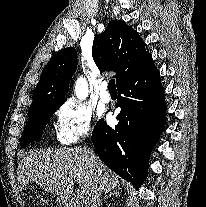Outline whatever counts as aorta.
I'll return each instance as SVG.
<instances>
[{
	"label": "aorta",
	"instance_id": "1",
	"mask_svg": "<svg viewBox=\"0 0 206 207\" xmlns=\"http://www.w3.org/2000/svg\"><path fill=\"white\" fill-rule=\"evenodd\" d=\"M75 93L79 99H85L88 95V87L84 78H79L75 85Z\"/></svg>",
	"mask_w": 206,
	"mask_h": 207
}]
</instances>
